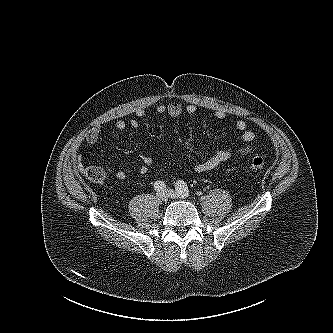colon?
Here are the masks:
<instances>
[{
	"mask_svg": "<svg viewBox=\"0 0 333 333\" xmlns=\"http://www.w3.org/2000/svg\"><path fill=\"white\" fill-rule=\"evenodd\" d=\"M266 162L263 156L255 155L251 159V166L253 169L261 171L265 168Z\"/></svg>",
	"mask_w": 333,
	"mask_h": 333,
	"instance_id": "1",
	"label": "colon"
}]
</instances>
